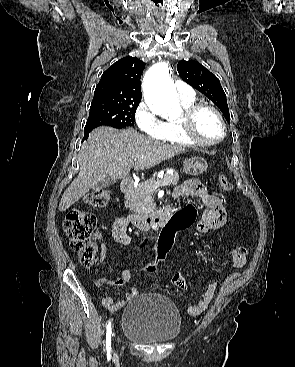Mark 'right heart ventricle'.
I'll list each match as a JSON object with an SVG mask.
<instances>
[{
	"instance_id": "right-heart-ventricle-1",
	"label": "right heart ventricle",
	"mask_w": 295,
	"mask_h": 367,
	"mask_svg": "<svg viewBox=\"0 0 295 367\" xmlns=\"http://www.w3.org/2000/svg\"><path fill=\"white\" fill-rule=\"evenodd\" d=\"M181 103L184 108H187L194 103V100L181 101ZM165 123H166V131L161 140L179 146H185V147L197 146L195 143H193L186 137L178 120L167 121Z\"/></svg>"
}]
</instances>
